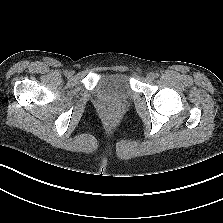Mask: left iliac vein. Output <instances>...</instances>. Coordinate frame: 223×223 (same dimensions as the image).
<instances>
[{"instance_id":"obj_1","label":"left iliac vein","mask_w":223,"mask_h":223,"mask_svg":"<svg viewBox=\"0 0 223 223\" xmlns=\"http://www.w3.org/2000/svg\"><path fill=\"white\" fill-rule=\"evenodd\" d=\"M148 81H152L155 78V74L150 72L146 75Z\"/></svg>"}]
</instances>
